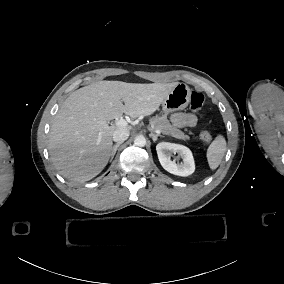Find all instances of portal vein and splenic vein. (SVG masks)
Listing matches in <instances>:
<instances>
[{
	"label": "portal vein and splenic vein",
	"mask_w": 284,
	"mask_h": 284,
	"mask_svg": "<svg viewBox=\"0 0 284 284\" xmlns=\"http://www.w3.org/2000/svg\"><path fill=\"white\" fill-rule=\"evenodd\" d=\"M127 122L124 119H120L115 121L114 126L115 127H124L126 126ZM158 134H161V130L156 131Z\"/></svg>",
	"instance_id": "18ae733b"
}]
</instances>
